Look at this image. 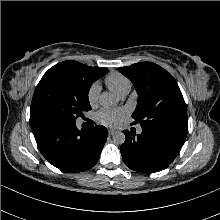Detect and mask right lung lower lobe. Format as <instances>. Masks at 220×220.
<instances>
[{
  "instance_id": "1",
  "label": "right lung lower lobe",
  "mask_w": 220,
  "mask_h": 220,
  "mask_svg": "<svg viewBox=\"0 0 220 220\" xmlns=\"http://www.w3.org/2000/svg\"><path fill=\"white\" fill-rule=\"evenodd\" d=\"M30 123L42 155L53 166L67 172L92 168L108 136L104 126L90 125L79 130L75 122L42 115H31Z\"/></svg>"
}]
</instances>
